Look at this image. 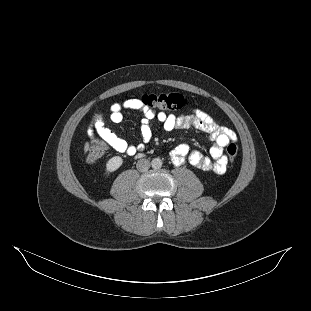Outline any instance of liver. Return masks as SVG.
Instances as JSON below:
<instances>
[{"instance_id": "obj_1", "label": "liver", "mask_w": 311, "mask_h": 311, "mask_svg": "<svg viewBox=\"0 0 311 311\" xmlns=\"http://www.w3.org/2000/svg\"><path fill=\"white\" fill-rule=\"evenodd\" d=\"M85 150H88V144L86 145Z\"/></svg>"}]
</instances>
